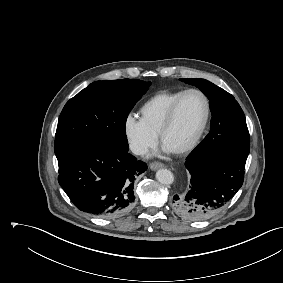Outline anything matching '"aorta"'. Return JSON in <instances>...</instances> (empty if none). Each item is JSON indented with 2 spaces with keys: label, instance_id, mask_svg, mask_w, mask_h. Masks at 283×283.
I'll return each mask as SVG.
<instances>
[{
  "label": "aorta",
  "instance_id": "762f6f07",
  "mask_svg": "<svg viewBox=\"0 0 283 283\" xmlns=\"http://www.w3.org/2000/svg\"><path fill=\"white\" fill-rule=\"evenodd\" d=\"M156 179L161 184L170 185L174 181L173 173L168 169H159L156 172Z\"/></svg>",
  "mask_w": 283,
  "mask_h": 283
}]
</instances>
